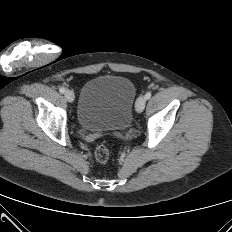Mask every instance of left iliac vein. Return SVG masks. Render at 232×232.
<instances>
[{"instance_id":"obj_1","label":"left iliac vein","mask_w":232,"mask_h":232,"mask_svg":"<svg viewBox=\"0 0 232 232\" xmlns=\"http://www.w3.org/2000/svg\"><path fill=\"white\" fill-rule=\"evenodd\" d=\"M145 104H146V99L144 96H139L136 100V104H135V110L137 113H141L144 108H145Z\"/></svg>"}]
</instances>
